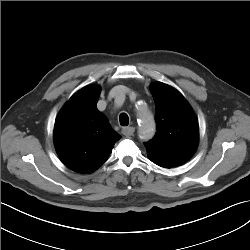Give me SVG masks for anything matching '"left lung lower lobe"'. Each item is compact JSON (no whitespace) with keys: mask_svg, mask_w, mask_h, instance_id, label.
<instances>
[{"mask_svg":"<svg viewBox=\"0 0 250 250\" xmlns=\"http://www.w3.org/2000/svg\"><path fill=\"white\" fill-rule=\"evenodd\" d=\"M148 158L153 163H155L161 167H164V168L176 167V166H179V165L184 163L181 161L167 160V159H163V158H155V157H149V156H148Z\"/></svg>","mask_w":250,"mask_h":250,"instance_id":"1","label":"left lung lower lobe"}]
</instances>
